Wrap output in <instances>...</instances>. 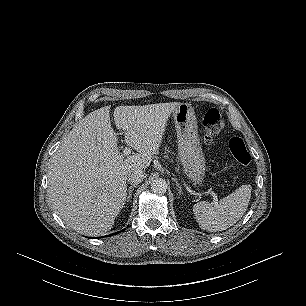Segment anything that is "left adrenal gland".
I'll return each instance as SVG.
<instances>
[{
	"label": "left adrenal gland",
	"mask_w": 306,
	"mask_h": 306,
	"mask_svg": "<svg viewBox=\"0 0 306 306\" xmlns=\"http://www.w3.org/2000/svg\"><path fill=\"white\" fill-rule=\"evenodd\" d=\"M174 182H175V184H176V186H177V188H178V193H179V195L183 194V193H182V187H181V185L178 183L177 179L174 178Z\"/></svg>",
	"instance_id": "obj_1"
}]
</instances>
